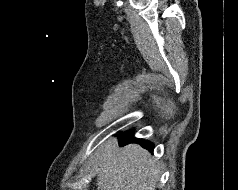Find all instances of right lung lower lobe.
I'll list each match as a JSON object with an SVG mask.
<instances>
[{
	"label": "right lung lower lobe",
	"mask_w": 238,
	"mask_h": 190,
	"mask_svg": "<svg viewBox=\"0 0 238 190\" xmlns=\"http://www.w3.org/2000/svg\"><path fill=\"white\" fill-rule=\"evenodd\" d=\"M133 134H134L133 131H127L123 135V138L120 140V145L124 146V145H127L131 142H134V140H136L138 143H140L144 148L148 149L149 151L153 150V144L152 143H150L147 140L137 139L133 136Z\"/></svg>",
	"instance_id": "obj_1"
}]
</instances>
